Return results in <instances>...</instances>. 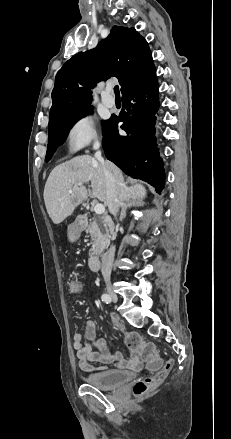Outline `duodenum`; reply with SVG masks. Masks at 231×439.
I'll return each instance as SVG.
<instances>
[{"mask_svg": "<svg viewBox=\"0 0 231 439\" xmlns=\"http://www.w3.org/2000/svg\"><path fill=\"white\" fill-rule=\"evenodd\" d=\"M79 223L81 226L88 224V218L86 216L79 217ZM89 267L92 271H98L100 269V258L98 254H91L88 260Z\"/></svg>", "mask_w": 231, "mask_h": 439, "instance_id": "duodenum-1", "label": "duodenum"}]
</instances>
